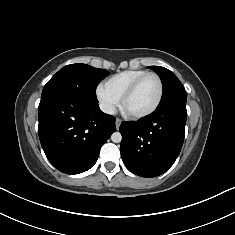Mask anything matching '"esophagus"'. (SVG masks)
<instances>
[{"mask_svg": "<svg viewBox=\"0 0 235 235\" xmlns=\"http://www.w3.org/2000/svg\"><path fill=\"white\" fill-rule=\"evenodd\" d=\"M122 123V120L120 118H117L116 121H115V124H116V128L119 129L120 125Z\"/></svg>", "mask_w": 235, "mask_h": 235, "instance_id": "obj_1", "label": "esophagus"}]
</instances>
